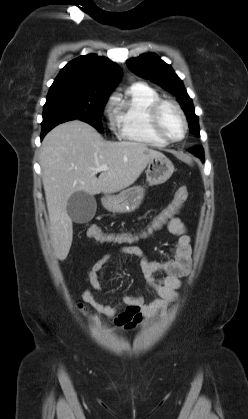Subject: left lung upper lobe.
I'll use <instances>...</instances> for the list:
<instances>
[{"label":"left lung upper lobe","instance_id":"1","mask_svg":"<svg viewBox=\"0 0 248 419\" xmlns=\"http://www.w3.org/2000/svg\"><path fill=\"white\" fill-rule=\"evenodd\" d=\"M126 63L128 68L135 74L150 79L165 90L175 94L177 101L181 104L187 116L190 132L196 137H200L199 118L195 115L192 99L187 94L182 80L176 75L170 65L152 53L129 59Z\"/></svg>","mask_w":248,"mask_h":419}]
</instances>
